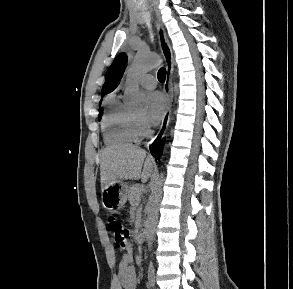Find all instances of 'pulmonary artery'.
I'll use <instances>...</instances> for the list:
<instances>
[{
  "label": "pulmonary artery",
  "instance_id": "e3ab8cb5",
  "mask_svg": "<svg viewBox=\"0 0 293 289\" xmlns=\"http://www.w3.org/2000/svg\"><path fill=\"white\" fill-rule=\"evenodd\" d=\"M140 84L147 89H153L156 87L157 81L153 75L146 74L141 77Z\"/></svg>",
  "mask_w": 293,
  "mask_h": 289
}]
</instances>
